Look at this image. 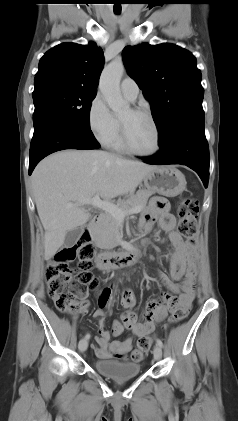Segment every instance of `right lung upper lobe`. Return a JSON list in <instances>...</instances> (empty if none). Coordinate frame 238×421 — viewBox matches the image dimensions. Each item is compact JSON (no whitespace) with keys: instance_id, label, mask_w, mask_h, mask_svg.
Masks as SVG:
<instances>
[{"instance_id":"1","label":"right lung upper lobe","mask_w":238,"mask_h":421,"mask_svg":"<svg viewBox=\"0 0 238 421\" xmlns=\"http://www.w3.org/2000/svg\"><path fill=\"white\" fill-rule=\"evenodd\" d=\"M103 65V50L94 42L87 46L62 43L40 59L34 86L58 84L97 92Z\"/></svg>"}]
</instances>
